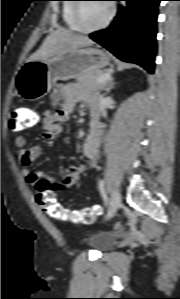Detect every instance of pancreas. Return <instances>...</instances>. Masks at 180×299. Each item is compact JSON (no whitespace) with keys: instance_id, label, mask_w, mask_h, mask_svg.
Returning <instances> with one entry per match:
<instances>
[{"instance_id":"cf45deb5","label":"pancreas","mask_w":180,"mask_h":299,"mask_svg":"<svg viewBox=\"0 0 180 299\" xmlns=\"http://www.w3.org/2000/svg\"><path fill=\"white\" fill-rule=\"evenodd\" d=\"M108 73L107 70L91 71L79 77L78 82L91 90H102L106 87V82L98 83V79Z\"/></svg>"}]
</instances>
